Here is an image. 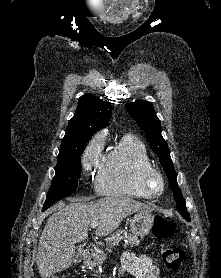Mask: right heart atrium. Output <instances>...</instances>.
I'll return each instance as SVG.
<instances>
[{"instance_id":"d8ad5b80","label":"right heart atrium","mask_w":221,"mask_h":278,"mask_svg":"<svg viewBox=\"0 0 221 278\" xmlns=\"http://www.w3.org/2000/svg\"><path fill=\"white\" fill-rule=\"evenodd\" d=\"M104 136L95 135L86 145L82 156L81 163L85 172H91L97 169L103 158Z\"/></svg>"}]
</instances>
